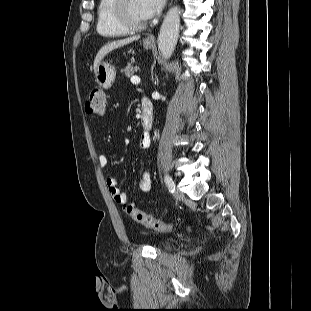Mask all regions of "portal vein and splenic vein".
Returning <instances> with one entry per match:
<instances>
[{"label": "portal vein and splenic vein", "instance_id": "obj_1", "mask_svg": "<svg viewBox=\"0 0 311 311\" xmlns=\"http://www.w3.org/2000/svg\"><path fill=\"white\" fill-rule=\"evenodd\" d=\"M141 79L138 76H132L131 77V83L132 84H139Z\"/></svg>", "mask_w": 311, "mask_h": 311}]
</instances>
